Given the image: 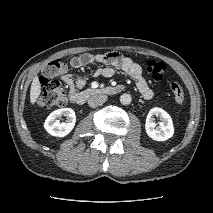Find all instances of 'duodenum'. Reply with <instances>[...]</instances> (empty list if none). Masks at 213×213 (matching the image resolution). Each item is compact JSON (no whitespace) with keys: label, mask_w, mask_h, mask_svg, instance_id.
<instances>
[{"label":"duodenum","mask_w":213,"mask_h":213,"mask_svg":"<svg viewBox=\"0 0 213 213\" xmlns=\"http://www.w3.org/2000/svg\"><path fill=\"white\" fill-rule=\"evenodd\" d=\"M122 85L109 86L106 88H90L79 92L75 98V103L83 104L88 99L100 95H116L123 91Z\"/></svg>","instance_id":"1"}]
</instances>
